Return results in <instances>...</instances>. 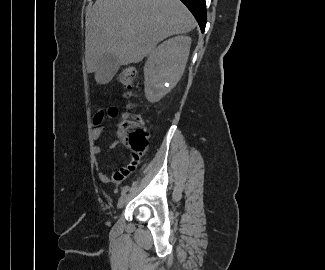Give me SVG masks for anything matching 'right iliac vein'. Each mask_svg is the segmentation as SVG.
<instances>
[{"label":"right iliac vein","mask_w":325,"mask_h":270,"mask_svg":"<svg viewBox=\"0 0 325 270\" xmlns=\"http://www.w3.org/2000/svg\"><path fill=\"white\" fill-rule=\"evenodd\" d=\"M128 201V195L127 194H122L121 197L118 200L117 207L122 208Z\"/></svg>","instance_id":"1"}]
</instances>
